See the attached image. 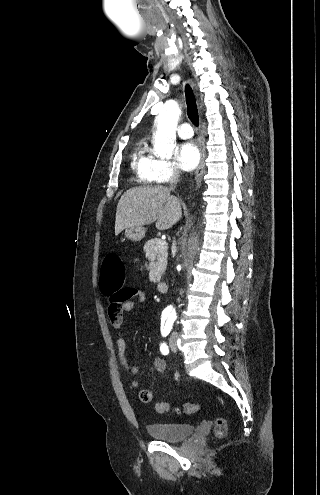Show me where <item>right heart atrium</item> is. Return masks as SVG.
<instances>
[{"label": "right heart atrium", "instance_id": "1", "mask_svg": "<svg viewBox=\"0 0 320 495\" xmlns=\"http://www.w3.org/2000/svg\"><path fill=\"white\" fill-rule=\"evenodd\" d=\"M176 163L165 159H154L152 178L153 182L165 183L179 175Z\"/></svg>", "mask_w": 320, "mask_h": 495}]
</instances>
